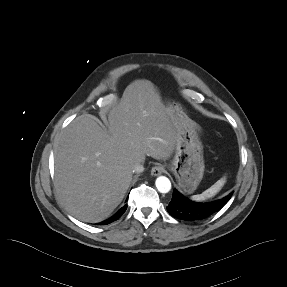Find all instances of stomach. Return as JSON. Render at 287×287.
<instances>
[{
	"label": "stomach",
	"mask_w": 287,
	"mask_h": 287,
	"mask_svg": "<svg viewBox=\"0 0 287 287\" xmlns=\"http://www.w3.org/2000/svg\"><path fill=\"white\" fill-rule=\"evenodd\" d=\"M168 110L176 128L177 143L170 169L179 187L188 194L193 193L204 174L203 145L194 122L178 104H168Z\"/></svg>",
	"instance_id": "stomach-1"
}]
</instances>
